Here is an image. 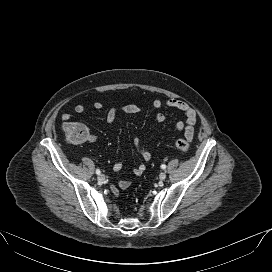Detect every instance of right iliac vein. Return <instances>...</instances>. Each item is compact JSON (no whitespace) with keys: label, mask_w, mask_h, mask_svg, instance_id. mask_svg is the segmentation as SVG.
<instances>
[{"label":"right iliac vein","mask_w":272,"mask_h":272,"mask_svg":"<svg viewBox=\"0 0 272 272\" xmlns=\"http://www.w3.org/2000/svg\"><path fill=\"white\" fill-rule=\"evenodd\" d=\"M98 182L103 183L105 181V176L103 174L98 175Z\"/></svg>","instance_id":"1"}]
</instances>
